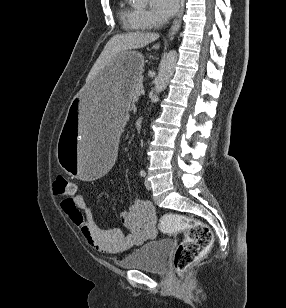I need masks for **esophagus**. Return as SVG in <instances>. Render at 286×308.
<instances>
[{
  "instance_id": "1",
  "label": "esophagus",
  "mask_w": 286,
  "mask_h": 308,
  "mask_svg": "<svg viewBox=\"0 0 286 308\" xmlns=\"http://www.w3.org/2000/svg\"><path fill=\"white\" fill-rule=\"evenodd\" d=\"M183 2H184V0H181V8H180V11L178 12V15H177L176 19L173 22L171 30L168 33L169 37L174 36L176 34V32L178 31V29H179L180 18H181V14H182V11H183Z\"/></svg>"
}]
</instances>
